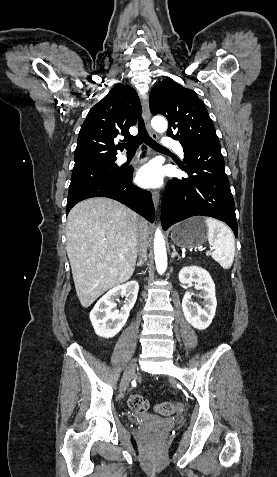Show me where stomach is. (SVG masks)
I'll return each mask as SVG.
<instances>
[{
	"label": "stomach",
	"mask_w": 277,
	"mask_h": 477,
	"mask_svg": "<svg viewBox=\"0 0 277 477\" xmlns=\"http://www.w3.org/2000/svg\"><path fill=\"white\" fill-rule=\"evenodd\" d=\"M208 238L205 218L196 216L176 224L171 230V239L179 247L194 248L202 245Z\"/></svg>",
	"instance_id": "stomach-1"
}]
</instances>
